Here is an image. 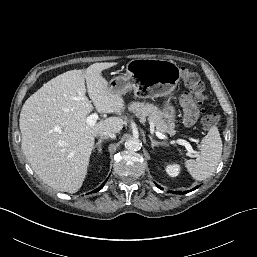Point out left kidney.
I'll list each match as a JSON object with an SVG mask.
<instances>
[{
	"instance_id": "5707ae66",
	"label": "left kidney",
	"mask_w": 257,
	"mask_h": 257,
	"mask_svg": "<svg viewBox=\"0 0 257 257\" xmlns=\"http://www.w3.org/2000/svg\"><path fill=\"white\" fill-rule=\"evenodd\" d=\"M165 170L169 176L176 177L180 172V166L177 164H170L166 166Z\"/></svg>"
}]
</instances>
